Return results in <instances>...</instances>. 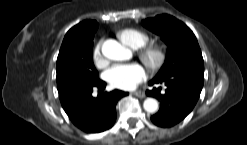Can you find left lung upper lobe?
<instances>
[{"label":"left lung upper lobe","instance_id":"obj_1","mask_svg":"<svg viewBox=\"0 0 247 145\" xmlns=\"http://www.w3.org/2000/svg\"><path fill=\"white\" fill-rule=\"evenodd\" d=\"M143 25L160 35L168 46L165 63L155 78L179 72L204 75V62L197 39L182 21L163 14L143 20Z\"/></svg>","mask_w":247,"mask_h":145}]
</instances>
